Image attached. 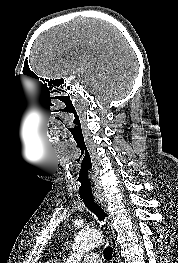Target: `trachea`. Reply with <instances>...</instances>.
Returning <instances> with one entry per match:
<instances>
[{
    "instance_id": "obj_1",
    "label": "trachea",
    "mask_w": 178,
    "mask_h": 263,
    "mask_svg": "<svg viewBox=\"0 0 178 263\" xmlns=\"http://www.w3.org/2000/svg\"><path fill=\"white\" fill-rule=\"evenodd\" d=\"M90 168L86 166H82L77 178L78 182V192L83 200L85 206L96 215L99 221H104L107 216L103 208L94 200L93 191H92V183L89 177ZM113 253V248L111 246H107L104 250V258L105 260H111Z\"/></svg>"
}]
</instances>
